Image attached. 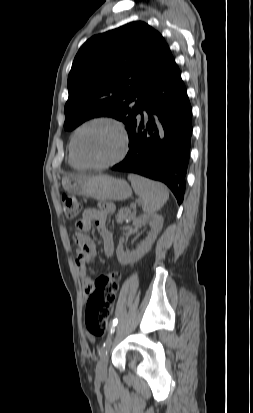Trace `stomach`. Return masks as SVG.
<instances>
[{"label": "stomach", "mask_w": 253, "mask_h": 413, "mask_svg": "<svg viewBox=\"0 0 253 413\" xmlns=\"http://www.w3.org/2000/svg\"><path fill=\"white\" fill-rule=\"evenodd\" d=\"M62 185L64 190L72 195L100 201H121L129 198L132 194V190L125 180L108 175L68 176L63 178Z\"/></svg>", "instance_id": "stomach-1"}]
</instances>
